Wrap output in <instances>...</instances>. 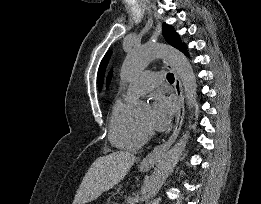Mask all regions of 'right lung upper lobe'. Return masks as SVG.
<instances>
[{"instance_id":"cb5924a9","label":"right lung upper lobe","mask_w":261,"mask_h":204,"mask_svg":"<svg viewBox=\"0 0 261 204\" xmlns=\"http://www.w3.org/2000/svg\"><path fill=\"white\" fill-rule=\"evenodd\" d=\"M111 77H112V71L109 73V76H108V78H107V87H108L109 84H110Z\"/></svg>"}]
</instances>
